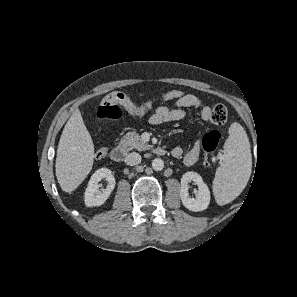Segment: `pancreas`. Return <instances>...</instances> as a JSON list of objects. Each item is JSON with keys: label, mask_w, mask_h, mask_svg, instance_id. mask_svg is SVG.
<instances>
[{"label": "pancreas", "mask_w": 297, "mask_h": 297, "mask_svg": "<svg viewBox=\"0 0 297 297\" xmlns=\"http://www.w3.org/2000/svg\"><path fill=\"white\" fill-rule=\"evenodd\" d=\"M120 146L126 151L137 149L139 151L151 148V145L147 144L140 138V135L136 132H128L120 140Z\"/></svg>", "instance_id": "1"}]
</instances>
